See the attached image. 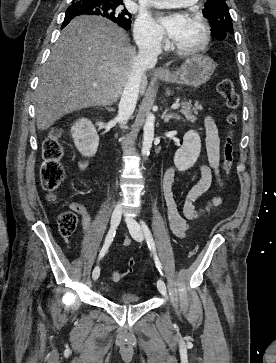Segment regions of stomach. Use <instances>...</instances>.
<instances>
[{
	"label": "stomach",
	"instance_id": "obj_1",
	"mask_svg": "<svg viewBox=\"0 0 276 363\" xmlns=\"http://www.w3.org/2000/svg\"><path fill=\"white\" fill-rule=\"evenodd\" d=\"M215 67L216 65L210 57L194 56L186 59L177 71H167L159 74L158 77L167 83H177L197 88L211 78Z\"/></svg>",
	"mask_w": 276,
	"mask_h": 363
}]
</instances>
